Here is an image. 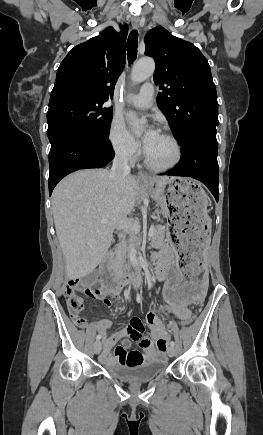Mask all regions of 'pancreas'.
I'll list each match as a JSON object with an SVG mask.
<instances>
[{
  "label": "pancreas",
  "instance_id": "1",
  "mask_svg": "<svg viewBox=\"0 0 263 435\" xmlns=\"http://www.w3.org/2000/svg\"><path fill=\"white\" fill-rule=\"evenodd\" d=\"M165 236V226L157 225L154 227V234L151 237V246L154 248H159L163 243ZM126 257V249L122 247L117 254L116 266L120 269Z\"/></svg>",
  "mask_w": 263,
  "mask_h": 435
}]
</instances>
